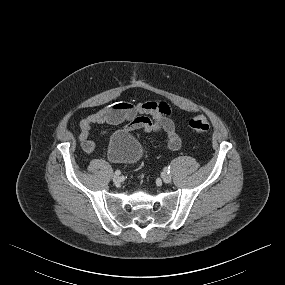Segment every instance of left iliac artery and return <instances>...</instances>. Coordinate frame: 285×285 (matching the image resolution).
Returning a JSON list of instances; mask_svg holds the SVG:
<instances>
[{
    "mask_svg": "<svg viewBox=\"0 0 285 285\" xmlns=\"http://www.w3.org/2000/svg\"><path fill=\"white\" fill-rule=\"evenodd\" d=\"M164 172L170 173V172H171L170 167H165V168H164Z\"/></svg>",
    "mask_w": 285,
    "mask_h": 285,
    "instance_id": "44dca946",
    "label": "left iliac artery"
}]
</instances>
